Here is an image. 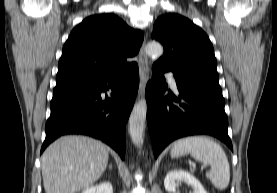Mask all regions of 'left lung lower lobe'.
I'll use <instances>...</instances> for the list:
<instances>
[{"label": "left lung lower lobe", "instance_id": "obj_1", "mask_svg": "<svg viewBox=\"0 0 277 193\" xmlns=\"http://www.w3.org/2000/svg\"><path fill=\"white\" fill-rule=\"evenodd\" d=\"M163 72L166 70L153 65L152 80L146 88L147 123L155 158L170 142L197 134L215 136L233 150L219 79L175 78L177 98L164 96L167 86ZM172 101L179 105H173Z\"/></svg>", "mask_w": 277, "mask_h": 193}]
</instances>
